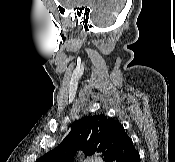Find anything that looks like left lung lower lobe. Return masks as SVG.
<instances>
[{"label": "left lung lower lobe", "mask_w": 175, "mask_h": 162, "mask_svg": "<svg viewBox=\"0 0 175 162\" xmlns=\"http://www.w3.org/2000/svg\"><path fill=\"white\" fill-rule=\"evenodd\" d=\"M139 153L135 149L132 140L125 133L117 146L115 147L112 156L108 162H139Z\"/></svg>", "instance_id": "0a47b994"}]
</instances>
